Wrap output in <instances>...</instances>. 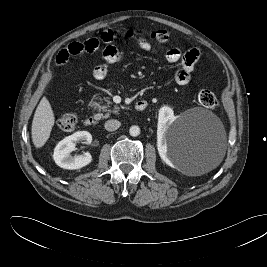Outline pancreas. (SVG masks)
Listing matches in <instances>:
<instances>
[{"instance_id": "obj_1", "label": "pancreas", "mask_w": 267, "mask_h": 267, "mask_svg": "<svg viewBox=\"0 0 267 267\" xmlns=\"http://www.w3.org/2000/svg\"><path fill=\"white\" fill-rule=\"evenodd\" d=\"M100 98H96V100ZM107 103L104 104V105H101L100 102H96V101H93L91 103V106L94 107V109H97L98 111H102V112H107L106 114H103V113H99L98 114V117L99 118H108L110 113H117L119 111V107L117 105H114L113 106V109H110V105L112 104L110 101L108 100H105Z\"/></svg>"}]
</instances>
